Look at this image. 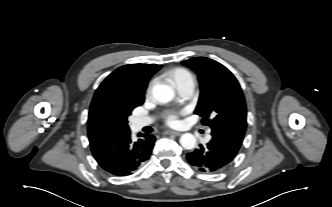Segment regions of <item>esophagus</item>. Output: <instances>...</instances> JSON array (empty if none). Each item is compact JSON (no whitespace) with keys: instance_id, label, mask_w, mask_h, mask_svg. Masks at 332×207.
<instances>
[{"instance_id":"obj_1","label":"esophagus","mask_w":332,"mask_h":207,"mask_svg":"<svg viewBox=\"0 0 332 207\" xmlns=\"http://www.w3.org/2000/svg\"><path fill=\"white\" fill-rule=\"evenodd\" d=\"M164 134H167V135H176V136L181 135L180 132L173 131V130H166V131H164Z\"/></svg>"}]
</instances>
